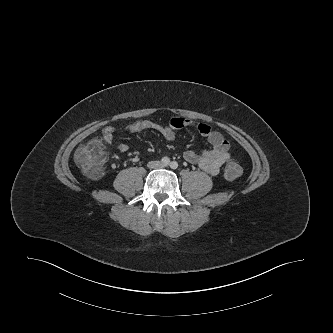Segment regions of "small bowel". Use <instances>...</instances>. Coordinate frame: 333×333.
Instances as JSON below:
<instances>
[{
  "label": "small bowel",
  "instance_id": "c3829d8e",
  "mask_svg": "<svg viewBox=\"0 0 333 333\" xmlns=\"http://www.w3.org/2000/svg\"><path fill=\"white\" fill-rule=\"evenodd\" d=\"M183 128L194 129L202 136L206 137L212 148L210 150L194 151L187 150L183 157L186 161L198 165L205 172L216 175L222 165L231 157L228 141L218 131L212 130L208 125L184 118H172L167 125H160L148 120L136 121L123 128L124 132L142 133L147 130H154L164 136L168 141L176 137V132ZM119 131L116 127L107 126L102 131L103 139L111 143L115 134ZM122 153L128 151V146L124 143L118 144Z\"/></svg>",
  "mask_w": 333,
  "mask_h": 333
}]
</instances>
